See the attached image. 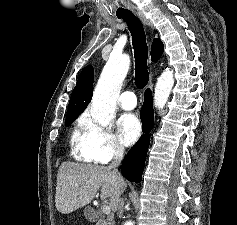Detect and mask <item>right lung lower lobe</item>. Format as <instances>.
Instances as JSON below:
<instances>
[{"instance_id":"98d812e1","label":"right lung lower lobe","mask_w":237,"mask_h":225,"mask_svg":"<svg viewBox=\"0 0 237 225\" xmlns=\"http://www.w3.org/2000/svg\"><path fill=\"white\" fill-rule=\"evenodd\" d=\"M140 116L143 132L146 134L142 135L139 141L131 148L121 167L123 176L129 181L136 183L141 182L142 179L147 151L150 144V135L147 133L151 131L154 124L153 102L150 89L145 91V99Z\"/></svg>"}]
</instances>
